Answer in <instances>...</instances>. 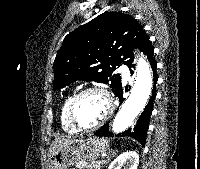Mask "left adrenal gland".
Masks as SVG:
<instances>
[{
    "label": "left adrenal gland",
    "mask_w": 200,
    "mask_h": 169,
    "mask_svg": "<svg viewBox=\"0 0 200 169\" xmlns=\"http://www.w3.org/2000/svg\"><path fill=\"white\" fill-rule=\"evenodd\" d=\"M116 152H117V150L116 151L115 150L109 151V157H108L107 161H109L111 156H113ZM107 161L105 162V164L107 163Z\"/></svg>",
    "instance_id": "a2214340"
}]
</instances>
